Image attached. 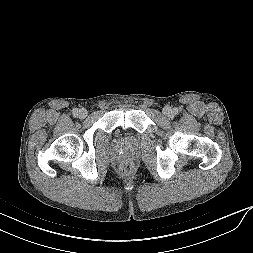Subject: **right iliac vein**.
Returning <instances> with one entry per match:
<instances>
[{
  "label": "right iliac vein",
  "instance_id": "1",
  "mask_svg": "<svg viewBox=\"0 0 253 253\" xmlns=\"http://www.w3.org/2000/svg\"><path fill=\"white\" fill-rule=\"evenodd\" d=\"M87 114H88V112H87V110L86 109H80L79 111H78V117L79 118H81V119H84V118H86L87 117Z\"/></svg>",
  "mask_w": 253,
  "mask_h": 253
}]
</instances>
